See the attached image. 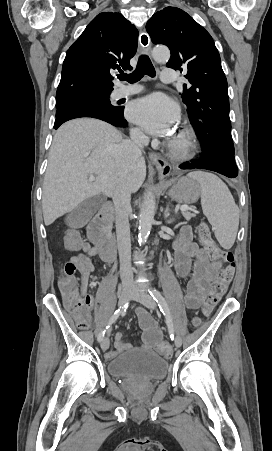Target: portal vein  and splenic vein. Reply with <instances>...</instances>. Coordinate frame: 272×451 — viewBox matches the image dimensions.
Segmentation results:
<instances>
[{"label":"portal vein and splenic vein","mask_w":272,"mask_h":451,"mask_svg":"<svg viewBox=\"0 0 272 451\" xmlns=\"http://www.w3.org/2000/svg\"><path fill=\"white\" fill-rule=\"evenodd\" d=\"M93 180H95L94 176H90L89 182H93ZM180 210H181V212H187V210H189V208H188V206H181Z\"/></svg>","instance_id":"obj_1"}]
</instances>
